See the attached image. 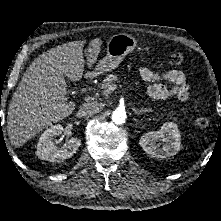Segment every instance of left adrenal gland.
<instances>
[{
  "label": "left adrenal gland",
  "mask_w": 221,
  "mask_h": 221,
  "mask_svg": "<svg viewBox=\"0 0 221 221\" xmlns=\"http://www.w3.org/2000/svg\"><path fill=\"white\" fill-rule=\"evenodd\" d=\"M133 110H134L135 114H137V115H140V114L146 113V112H151V109H150V108H149V109H147V108H142V109H140V110L133 109Z\"/></svg>",
  "instance_id": "1"
}]
</instances>
